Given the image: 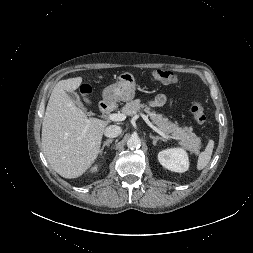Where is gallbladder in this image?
<instances>
[{
  "instance_id": "bac80fb5",
  "label": "gallbladder",
  "mask_w": 253,
  "mask_h": 253,
  "mask_svg": "<svg viewBox=\"0 0 253 253\" xmlns=\"http://www.w3.org/2000/svg\"><path fill=\"white\" fill-rule=\"evenodd\" d=\"M67 94L73 102H75L78 106H82L80 98L76 92L72 91L68 92Z\"/></svg>"
}]
</instances>
